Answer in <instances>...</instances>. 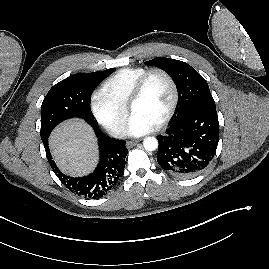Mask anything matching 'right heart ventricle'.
Wrapping results in <instances>:
<instances>
[{
	"mask_svg": "<svg viewBox=\"0 0 269 269\" xmlns=\"http://www.w3.org/2000/svg\"><path fill=\"white\" fill-rule=\"evenodd\" d=\"M146 71L145 67L122 68L104 82L102 91L117 105L126 108L134 86Z\"/></svg>",
	"mask_w": 269,
	"mask_h": 269,
	"instance_id": "e07e8e85",
	"label": "right heart ventricle"
}]
</instances>
